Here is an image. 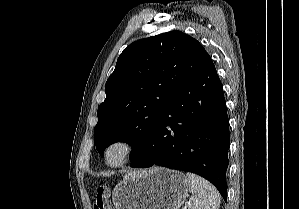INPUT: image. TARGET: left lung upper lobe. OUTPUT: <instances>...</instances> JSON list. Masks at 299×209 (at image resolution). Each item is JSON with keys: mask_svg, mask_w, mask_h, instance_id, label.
Listing matches in <instances>:
<instances>
[{"mask_svg": "<svg viewBox=\"0 0 299 209\" xmlns=\"http://www.w3.org/2000/svg\"><path fill=\"white\" fill-rule=\"evenodd\" d=\"M210 61L202 45L181 31L140 39L124 49L97 112L94 142L100 155L120 140L131 145L133 161L171 97Z\"/></svg>", "mask_w": 299, "mask_h": 209, "instance_id": "5c2ea615", "label": "left lung upper lobe"}]
</instances>
